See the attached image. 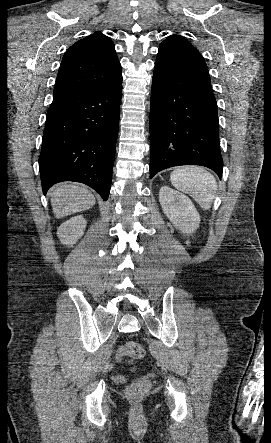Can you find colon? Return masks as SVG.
Segmentation results:
<instances>
[{"instance_id": "obj_1", "label": "colon", "mask_w": 271, "mask_h": 443, "mask_svg": "<svg viewBox=\"0 0 271 443\" xmlns=\"http://www.w3.org/2000/svg\"><path fill=\"white\" fill-rule=\"evenodd\" d=\"M145 355V350L143 346L137 342L130 341L117 350V357L122 359L124 357H130L132 359H141ZM149 381L145 378H141L133 382L127 388V396L131 399H138L142 397L149 388Z\"/></svg>"}]
</instances>
